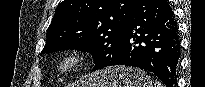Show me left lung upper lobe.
<instances>
[{
	"label": "left lung upper lobe",
	"instance_id": "obj_1",
	"mask_svg": "<svg viewBox=\"0 0 205 87\" xmlns=\"http://www.w3.org/2000/svg\"><path fill=\"white\" fill-rule=\"evenodd\" d=\"M138 0H64L47 30L41 54L77 49L93 54V70L118 52L130 14Z\"/></svg>",
	"mask_w": 205,
	"mask_h": 87
}]
</instances>
